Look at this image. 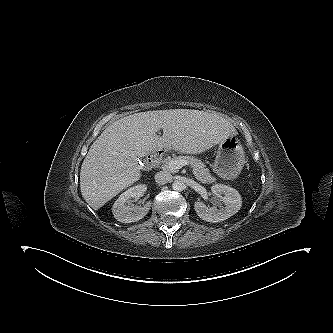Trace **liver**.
<instances>
[{"instance_id":"6515ba94","label":"liver","mask_w":333,"mask_h":333,"mask_svg":"<svg viewBox=\"0 0 333 333\" xmlns=\"http://www.w3.org/2000/svg\"><path fill=\"white\" fill-rule=\"evenodd\" d=\"M163 130V136L156 132ZM236 135L225 119L188 109L135 113L109 125L90 147L80 172V190L94 210L138 181L144 157L165 147L200 154Z\"/></svg>"}]
</instances>
